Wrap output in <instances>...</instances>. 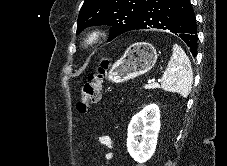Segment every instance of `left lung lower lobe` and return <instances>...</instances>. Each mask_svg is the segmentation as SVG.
<instances>
[{
    "label": "left lung lower lobe",
    "mask_w": 227,
    "mask_h": 166,
    "mask_svg": "<svg viewBox=\"0 0 227 166\" xmlns=\"http://www.w3.org/2000/svg\"><path fill=\"white\" fill-rule=\"evenodd\" d=\"M151 28L175 33L196 56L197 27L190 0H147L133 30Z\"/></svg>",
    "instance_id": "left-lung-lower-lobe-1"
}]
</instances>
